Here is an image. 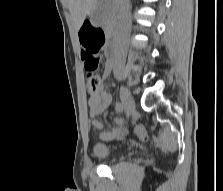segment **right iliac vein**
<instances>
[{
	"label": "right iliac vein",
	"mask_w": 223,
	"mask_h": 191,
	"mask_svg": "<svg viewBox=\"0 0 223 191\" xmlns=\"http://www.w3.org/2000/svg\"><path fill=\"white\" fill-rule=\"evenodd\" d=\"M120 97L122 102L124 103L127 113L132 114L135 108V102L131 97L130 93L128 92V90L123 85H121L120 88Z\"/></svg>",
	"instance_id": "63e3f726"
}]
</instances>
